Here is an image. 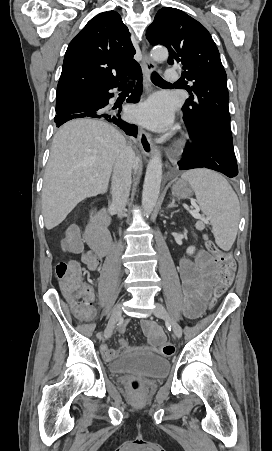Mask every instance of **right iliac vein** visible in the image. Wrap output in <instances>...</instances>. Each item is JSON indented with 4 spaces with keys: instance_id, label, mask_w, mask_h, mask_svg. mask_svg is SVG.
<instances>
[{
    "instance_id": "1",
    "label": "right iliac vein",
    "mask_w": 272,
    "mask_h": 451,
    "mask_svg": "<svg viewBox=\"0 0 272 451\" xmlns=\"http://www.w3.org/2000/svg\"><path fill=\"white\" fill-rule=\"evenodd\" d=\"M121 314H122L121 304H117L112 310L108 325L104 331V336L106 339L111 337L113 330L116 326V323L118 322V320L121 317Z\"/></svg>"
}]
</instances>
